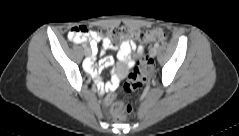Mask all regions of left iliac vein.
I'll use <instances>...</instances> for the list:
<instances>
[{
  "mask_svg": "<svg viewBox=\"0 0 239 136\" xmlns=\"http://www.w3.org/2000/svg\"><path fill=\"white\" fill-rule=\"evenodd\" d=\"M157 54V49L155 47H152L150 50H149V55L151 57H155Z\"/></svg>",
  "mask_w": 239,
  "mask_h": 136,
  "instance_id": "obj_1",
  "label": "left iliac vein"
}]
</instances>
